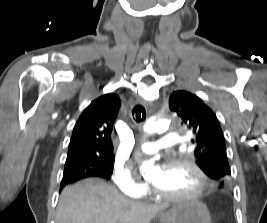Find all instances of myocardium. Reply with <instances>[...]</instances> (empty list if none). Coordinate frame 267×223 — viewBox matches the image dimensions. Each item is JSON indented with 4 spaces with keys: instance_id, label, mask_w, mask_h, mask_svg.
I'll return each instance as SVG.
<instances>
[{
    "instance_id": "myocardium-1",
    "label": "myocardium",
    "mask_w": 267,
    "mask_h": 223,
    "mask_svg": "<svg viewBox=\"0 0 267 223\" xmlns=\"http://www.w3.org/2000/svg\"><path fill=\"white\" fill-rule=\"evenodd\" d=\"M178 165H186L193 170L198 180L197 188L189 194L174 195L162 193L154 186H152L151 191L153 195L157 199L164 200L167 202H193L198 200L207 189L208 183L206 174L193 160L188 157L172 156L168 158L164 163V167H174Z\"/></svg>"
}]
</instances>
